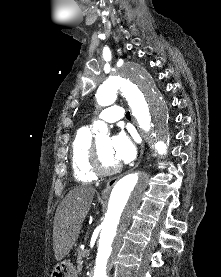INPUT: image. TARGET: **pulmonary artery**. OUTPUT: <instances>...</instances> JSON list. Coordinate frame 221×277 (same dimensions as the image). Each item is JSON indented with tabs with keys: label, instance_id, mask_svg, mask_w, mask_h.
<instances>
[{
	"label": "pulmonary artery",
	"instance_id": "e3ab8cb5",
	"mask_svg": "<svg viewBox=\"0 0 221 277\" xmlns=\"http://www.w3.org/2000/svg\"><path fill=\"white\" fill-rule=\"evenodd\" d=\"M98 117L108 123L117 122L124 118V110L118 105H113L102 110Z\"/></svg>",
	"mask_w": 221,
	"mask_h": 277
}]
</instances>
